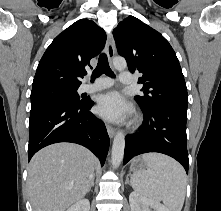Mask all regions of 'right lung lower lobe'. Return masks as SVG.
<instances>
[{"label": "right lung lower lobe", "mask_w": 221, "mask_h": 211, "mask_svg": "<svg viewBox=\"0 0 221 211\" xmlns=\"http://www.w3.org/2000/svg\"><path fill=\"white\" fill-rule=\"evenodd\" d=\"M93 104L90 99H84L79 104L50 101L31 106L29 160L47 145L72 142L91 150L103 165L110 139L104 123L90 111Z\"/></svg>", "instance_id": "obj_1"}]
</instances>
